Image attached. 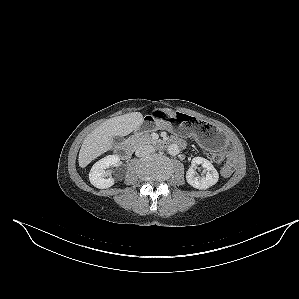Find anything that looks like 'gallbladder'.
Listing matches in <instances>:
<instances>
[{"label":"gallbladder","instance_id":"gallbladder-1","mask_svg":"<svg viewBox=\"0 0 299 299\" xmlns=\"http://www.w3.org/2000/svg\"><path fill=\"white\" fill-rule=\"evenodd\" d=\"M112 140L114 143H120L123 139L120 136H113Z\"/></svg>","mask_w":299,"mask_h":299}]
</instances>
